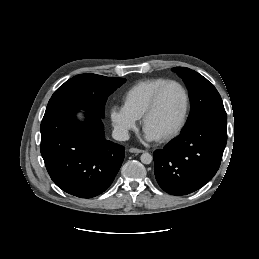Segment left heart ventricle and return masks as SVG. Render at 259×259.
<instances>
[{
    "label": "left heart ventricle",
    "instance_id": "obj_1",
    "mask_svg": "<svg viewBox=\"0 0 259 259\" xmlns=\"http://www.w3.org/2000/svg\"><path fill=\"white\" fill-rule=\"evenodd\" d=\"M185 106V97L177 85L168 86L161 95L159 106L148 119L146 130L157 138L169 133L180 121Z\"/></svg>",
    "mask_w": 259,
    "mask_h": 259
}]
</instances>
